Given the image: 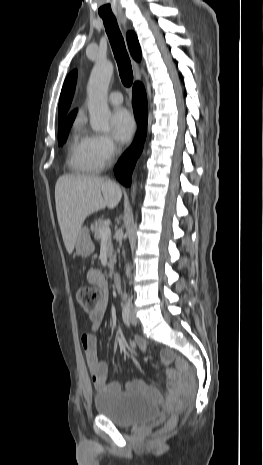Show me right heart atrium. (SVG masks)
<instances>
[{
	"label": "right heart atrium",
	"mask_w": 263,
	"mask_h": 465,
	"mask_svg": "<svg viewBox=\"0 0 263 465\" xmlns=\"http://www.w3.org/2000/svg\"><path fill=\"white\" fill-rule=\"evenodd\" d=\"M118 151L116 142L105 134H96L92 136V152L95 160L100 167L109 163Z\"/></svg>",
	"instance_id": "1"
}]
</instances>
